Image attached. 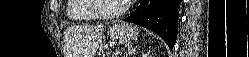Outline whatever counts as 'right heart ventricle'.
Listing matches in <instances>:
<instances>
[{"mask_svg": "<svg viewBox=\"0 0 249 57\" xmlns=\"http://www.w3.org/2000/svg\"><path fill=\"white\" fill-rule=\"evenodd\" d=\"M89 0H68L66 14L73 21H92L98 18L88 9Z\"/></svg>", "mask_w": 249, "mask_h": 57, "instance_id": "right-heart-ventricle-1", "label": "right heart ventricle"}]
</instances>
